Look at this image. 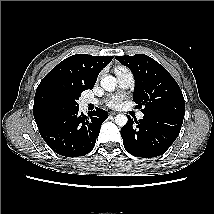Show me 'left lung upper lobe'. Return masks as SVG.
Listing matches in <instances>:
<instances>
[{
    "label": "left lung upper lobe",
    "mask_w": 214,
    "mask_h": 214,
    "mask_svg": "<svg viewBox=\"0 0 214 214\" xmlns=\"http://www.w3.org/2000/svg\"><path fill=\"white\" fill-rule=\"evenodd\" d=\"M133 73V99L143 114L167 115L184 119L182 91L170 73L157 61L144 54L116 56Z\"/></svg>",
    "instance_id": "5c2ea615"
}]
</instances>
